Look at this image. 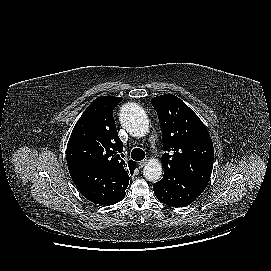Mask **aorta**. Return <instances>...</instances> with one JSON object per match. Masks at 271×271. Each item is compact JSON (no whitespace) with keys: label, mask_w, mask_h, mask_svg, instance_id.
Segmentation results:
<instances>
[{"label":"aorta","mask_w":271,"mask_h":271,"mask_svg":"<svg viewBox=\"0 0 271 271\" xmlns=\"http://www.w3.org/2000/svg\"><path fill=\"white\" fill-rule=\"evenodd\" d=\"M119 119L126 131L134 137H143L148 133L149 121L144 110L135 103H127L121 107ZM162 164L157 160H149L143 168L146 180L156 182L162 175Z\"/></svg>","instance_id":"762f6f07"}]
</instances>
